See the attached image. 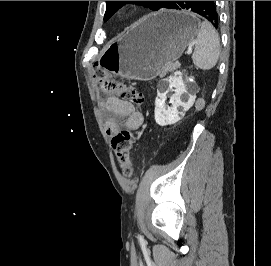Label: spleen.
<instances>
[{
    "label": "spleen",
    "mask_w": 271,
    "mask_h": 266,
    "mask_svg": "<svg viewBox=\"0 0 271 266\" xmlns=\"http://www.w3.org/2000/svg\"><path fill=\"white\" fill-rule=\"evenodd\" d=\"M199 26L200 28L196 34V45L192 59L196 68L210 70L217 64L219 58V35L214 27L207 21H203Z\"/></svg>",
    "instance_id": "1"
}]
</instances>
